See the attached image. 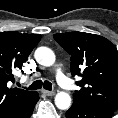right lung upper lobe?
I'll return each mask as SVG.
<instances>
[{
    "mask_svg": "<svg viewBox=\"0 0 118 118\" xmlns=\"http://www.w3.org/2000/svg\"><path fill=\"white\" fill-rule=\"evenodd\" d=\"M40 39L39 34L0 32V118H22L39 100L36 91L10 87V82Z\"/></svg>",
    "mask_w": 118,
    "mask_h": 118,
    "instance_id": "cb5924a9",
    "label": "right lung upper lobe"
}]
</instances>
